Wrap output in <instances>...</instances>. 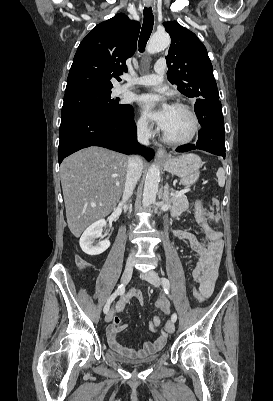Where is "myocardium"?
<instances>
[{
    "label": "myocardium",
    "instance_id": "1",
    "mask_svg": "<svg viewBox=\"0 0 273 401\" xmlns=\"http://www.w3.org/2000/svg\"><path fill=\"white\" fill-rule=\"evenodd\" d=\"M173 107L184 111L186 114H188L190 116V118L192 119V122H193V130H192L191 134L186 138H173V137L169 136L164 130H162L163 140L168 144H174V145H182V144L190 143L197 137V135L200 132L201 122H200L199 116L190 106L185 105L183 103H175Z\"/></svg>",
    "mask_w": 273,
    "mask_h": 401
}]
</instances>
